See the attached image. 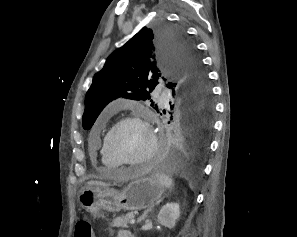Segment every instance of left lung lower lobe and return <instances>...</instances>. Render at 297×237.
<instances>
[{
	"label": "left lung lower lobe",
	"instance_id": "obj_1",
	"mask_svg": "<svg viewBox=\"0 0 297 237\" xmlns=\"http://www.w3.org/2000/svg\"><path fill=\"white\" fill-rule=\"evenodd\" d=\"M170 107L175 108L179 126L167 135L160 161L172 168L196 167L202 162L208 147L214 112L212 101L200 107L189 102H174Z\"/></svg>",
	"mask_w": 297,
	"mask_h": 237
}]
</instances>
